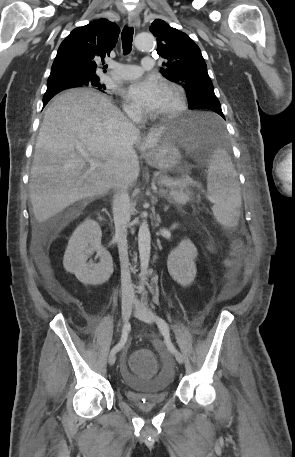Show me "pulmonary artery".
Instances as JSON below:
<instances>
[{"label": "pulmonary artery", "instance_id": "obj_1", "mask_svg": "<svg viewBox=\"0 0 295 457\" xmlns=\"http://www.w3.org/2000/svg\"><path fill=\"white\" fill-rule=\"evenodd\" d=\"M155 65L152 57L146 56L141 61V66L132 64H119L113 66L112 70L106 75L107 78L116 80H131L141 75L144 70H151Z\"/></svg>", "mask_w": 295, "mask_h": 457}]
</instances>
